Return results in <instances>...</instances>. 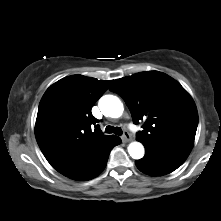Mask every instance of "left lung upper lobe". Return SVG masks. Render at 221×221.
<instances>
[{
    "mask_svg": "<svg viewBox=\"0 0 221 221\" xmlns=\"http://www.w3.org/2000/svg\"><path fill=\"white\" fill-rule=\"evenodd\" d=\"M110 90L124 99L135 124L144 121L136 136L145 147L193 146L196 105L176 80L158 71L141 72L116 79Z\"/></svg>",
    "mask_w": 221,
    "mask_h": 221,
    "instance_id": "left-lung-upper-lobe-1",
    "label": "left lung upper lobe"
}]
</instances>
